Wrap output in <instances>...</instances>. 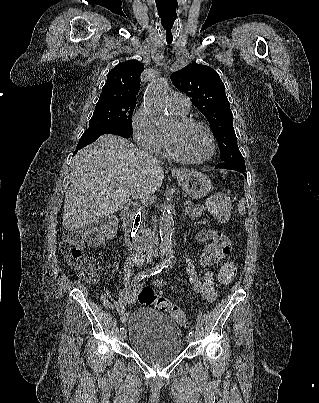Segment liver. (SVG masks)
Instances as JSON below:
<instances>
[{"instance_id":"liver-1","label":"liver","mask_w":319,"mask_h":403,"mask_svg":"<svg viewBox=\"0 0 319 403\" xmlns=\"http://www.w3.org/2000/svg\"><path fill=\"white\" fill-rule=\"evenodd\" d=\"M70 176L62 224L73 231L122 210L131 194L154 193L164 172L157 159L129 140L105 134L74 156Z\"/></svg>"}]
</instances>
